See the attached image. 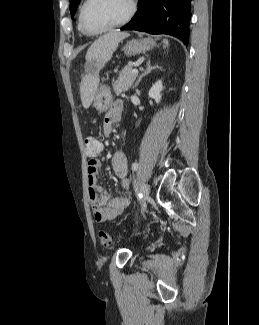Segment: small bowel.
<instances>
[{
	"instance_id": "small-bowel-1",
	"label": "small bowel",
	"mask_w": 259,
	"mask_h": 325,
	"mask_svg": "<svg viewBox=\"0 0 259 325\" xmlns=\"http://www.w3.org/2000/svg\"><path fill=\"white\" fill-rule=\"evenodd\" d=\"M123 110V102L115 101L110 110L106 113L103 121L102 130L104 135L108 136L112 133L113 125L121 119ZM99 142V141H98ZM103 151L101 149L93 155H87L88 158V196L92 205L95 219L98 221L112 220L121 215L130 205V197L126 191L130 187V181L127 177L128 167L127 158L123 152H115L111 157V166L114 174L120 181L121 188L125 191L120 196L113 197L110 193L103 191L97 184V173L101 168L99 155Z\"/></svg>"
}]
</instances>
